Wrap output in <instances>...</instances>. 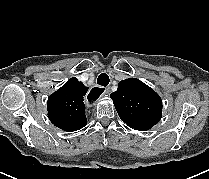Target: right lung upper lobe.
<instances>
[{
  "instance_id": "1",
  "label": "right lung upper lobe",
  "mask_w": 209,
  "mask_h": 179,
  "mask_svg": "<svg viewBox=\"0 0 209 179\" xmlns=\"http://www.w3.org/2000/svg\"><path fill=\"white\" fill-rule=\"evenodd\" d=\"M88 89L73 77L51 94L47 102L50 121L64 131L83 128L87 124L84 100Z\"/></svg>"
}]
</instances>
